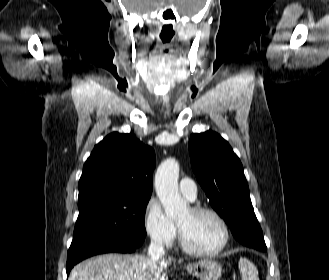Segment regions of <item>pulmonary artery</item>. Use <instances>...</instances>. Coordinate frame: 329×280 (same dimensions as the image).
Wrapping results in <instances>:
<instances>
[{
	"mask_svg": "<svg viewBox=\"0 0 329 280\" xmlns=\"http://www.w3.org/2000/svg\"><path fill=\"white\" fill-rule=\"evenodd\" d=\"M179 190L189 200H194L197 193V186L190 178H183L179 182Z\"/></svg>",
	"mask_w": 329,
	"mask_h": 280,
	"instance_id": "e3ab8cb5",
	"label": "pulmonary artery"
}]
</instances>
